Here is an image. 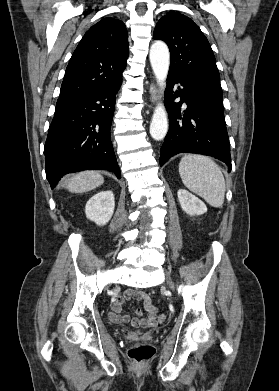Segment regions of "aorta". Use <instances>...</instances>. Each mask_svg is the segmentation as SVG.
<instances>
[{
  "mask_svg": "<svg viewBox=\"0 0 279 391\" xmlns=\"http://www.w3.org/2000/svg\"><path fill=\"white\" fill-rule=\"evenodd\" d=\"M150 63L157 79V83L163 89L168 75L170 54L164 42L156 41L150 48ZM168 130L167 112L163 104H159L153 113L150 124V135L154 140H162Z\"/></svg>",
  "mask_w": 279,
  "mask_h": 391,
  "instance_id": "aorta-1",
  "label": "aorta"
}]
</instances>
